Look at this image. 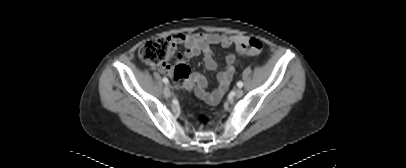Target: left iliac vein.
<instances>
[{"label":"left iliac vein","instance_id":"1","mask_svg":"<svg viewBox=\"0 0 406 168\" xmlns=\"http://www.w3.org/2000/svg\"><path fill=\"white\" fill-rule=\"evenodd\" d=\"M243 94H244V92H243V90L240 89V88L235 91V97H236V98L242 97Z\"/></svg>","mask_w":406,"mask_h":168}]
</instances>
